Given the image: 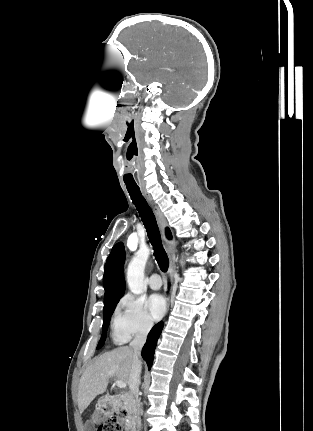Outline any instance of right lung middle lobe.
Segmentation results:
<instances>
[{
    "label": "right lung middle lobe",
    "instance_id": "right-lung-middle-lobe-1",
    "mask_svg": "<svg viewBox=\"0 0 313 431\" xmlns=\"http://www.w3.org/2000/svg\"><path fill=\"white\" fill-rule=\"evenodd\" d=\"M117 303H118V301H116V302H114V303H112L110 305L104 306L103 331H102V336H101V339H100V341L98 343L97 349L101 348L103 346V344H104V341L106 339V333H107L108 324L110 322V317H111V315H112V313H113V311H114Z\"/></svg>",
    "mask_w": 313,
    "mask_h": 431
}]
</instances>
